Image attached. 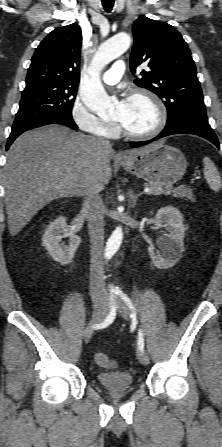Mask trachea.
I'll return each instance as SVG.
<instances>
[{"label":"trachea","mask_w":222,"mask_h":447,"mask_svg":"<svg viewBox=\"0 0 222 447\" xmlns=\"http://www.w3.org/2000/svg\"><path fill=\"white\" fill-rule=\"evenodd\" d=\"M102 5L107 12H110L114 5V0H102Z\"/></svg>","instance_id":"obj_1"}]
</instances>
